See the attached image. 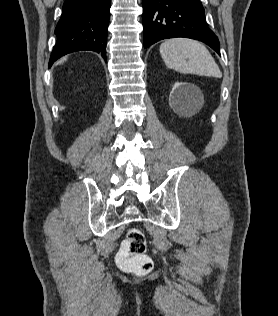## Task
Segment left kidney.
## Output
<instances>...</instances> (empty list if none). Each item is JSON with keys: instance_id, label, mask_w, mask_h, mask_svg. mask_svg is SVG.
Listing matches in <instances>:
<instances>
[{"instance_id": "1", "label": "left kidney", "mask_w": 278, "mask_h": 316, "mask_svg": "<svg viewBox=\"0 0 278 316\" xmlns=\"http://www.w3.org/2000/svg\"><path fill=\"white\" fill-rule=\"evenodd\" d=\"M200 93V89L191 83L176 82L170 92V105L178 111L187 109L198 103Z\"/></svg>"}]
</instances>
